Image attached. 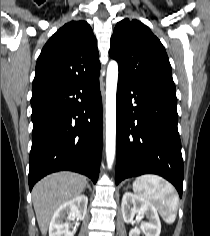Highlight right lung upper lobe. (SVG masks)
<instances>
[{"label": "right lung upper lobe", "mask_w": 210, "mask_h": 236, "mask_svg": "<svg viewBox=\"0 0 210 236\" xmlns=\"http://www.w3.org/2000/svg\"><path fill=\"white\" fill-rule=\"evenodd\" d=\"M100 71L96 38L85 21H71L45 44L36 63L32 92L58 91Z\"/></svg>", "instance_id": "cb5924a9"}]
</instances>
